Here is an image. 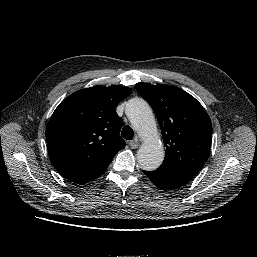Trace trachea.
I'll list each match as a JSON object with an SVG mask.
<instances>
[{
    "instance_id": "1",
    "label": "trachea",
    "mask_w": 257,
    "mask_h": 257,
    "mask_svg": "<svg viewBox=\"0 0 257 257\" xmlns=\"http://www.w3.org/2000/svg\"><path fill=\"white\" fill-rule=\"evenodd\" d=\"M121 135L126 140H132L134 137V131L130 126H125L122 129Z\"/></svg>"
}]
</instances>
